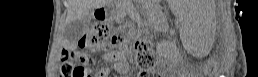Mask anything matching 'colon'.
I'll return each mask as SVG.
<instances>
[{"mask_svg": "<svg viewBox=\"0 0 258 77\" xmlns=\"http://www.w3.org/2000/svg\"><path fill=\"white\" fill-rule=\"evenodd\" d=\"M110 32L103 23H97L85 31L80 39V49L68 48L62 55L61 73L64 77H90L92 60L83 52L84 49L96 51L104 46ZM136 65L142 71L152 70L156 65V55L150 42L140 39L135 42ZM217 65L215 59H207L203 66L211 71Z\"/></svg>", "mask_w": 258, "mask_h": 77, "instance_id": "colon-1", "label": "colon"}]
</instances>
